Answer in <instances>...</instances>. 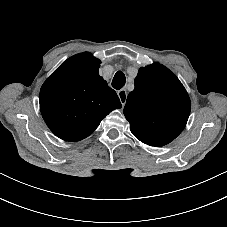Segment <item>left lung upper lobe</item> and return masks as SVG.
Returning a JSON list of instances; mask_svg holds the SVG:
<instances>
[{"instance_id": "obj_1", "label": "left lung upper lobe", "mask_w": 227, "mask_h": 227, "mask_svg": "<svg viewBox=\"0 0 227 227\" xmlns=\"http://www.w3.org/2000/svg\"><path fill=\"white\" fill-rule=\"evenodd\" d=\"M190 110L188 93L179 79L165 66L154 63L140 68L123 112L137 139L161 147L182 132Z\"/></svg>"}]
</instances>
